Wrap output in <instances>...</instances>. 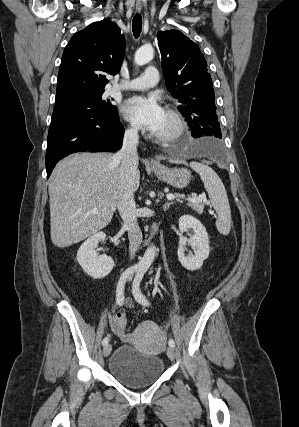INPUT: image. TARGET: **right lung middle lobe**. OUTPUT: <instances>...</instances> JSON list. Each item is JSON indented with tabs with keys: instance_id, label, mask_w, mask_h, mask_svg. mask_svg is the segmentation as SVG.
<instances>
[{
	"instance_id": "obj_1",
	"label": "right lung middle lobe",
	"mask_w": 299,
	"mask_h": 427,
	"mask_svg": "<svg viewBox=\"0 0 299 427\" xmlns=\"http://www.w3.org/2000/svg\"><path fill=\"white\" fill-rule=\"evenodd\" d=\"M102 92L82 94L55 102L52 120L75 113L95 114L103 117L118 116L117 109L104 100Z\"/></svg>"
}]
</instances>
